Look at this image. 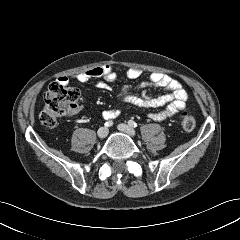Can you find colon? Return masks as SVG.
<instances>
[{
  "mask_svg": "<svg viewBox=\"0 0 240 240\" xmlns=\"http://www.w3.org/2000/svg\"><path fill=\"white\" fill-rule=\"evenodd\" d=\"M79 101V92L75 88L52 84L44 96L41 121L46 126H54L62 117L73 112ZM179 123L183 130L191 132L195 128L194 117L183 112L179 115Z\"/></svg>",
  "mask_w": 240,
  "mask_h": 240,
  "instance_id": "5ec220e1",
  "label": "colon"
}]
</instances>
